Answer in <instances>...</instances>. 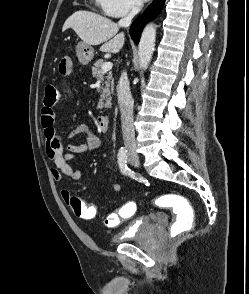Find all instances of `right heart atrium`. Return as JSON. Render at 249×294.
<instances>
[{"label":"right heart atrium","instance_id":"obj_1","mask_svg":"<svg viewBox=\"0 0 249 294\" xmlns=\"http://www.w3.org/2000/svg\"><path fill=\"white\" fill-rule=\"evenodd\" d=\"M103 12L111 17L126 16L140 7V0H99Z\"/></svg>","mask_w":249,"mask_h":294}]
</instances>
